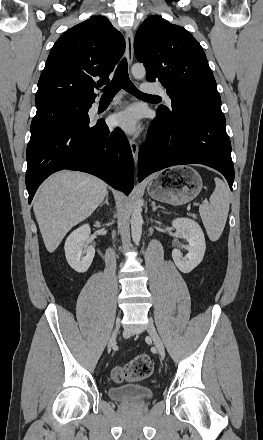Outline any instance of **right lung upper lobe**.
<instances>
[{
	"mask_svg": "<svg viewBox=\"0 0 263 440\" xmlns=\"http://www.w3.org/2000/svg\"><path fill=\"white\" fill-rule=\"evenodd\" d=\"M124 49L122 34L106 17H94L72 27L49 53L38 82L36 107L59 102H93L94 88L109 82V74Z\"/></svg>",
	"mask_w": 263,
	"mask_h": 440,
	"instance_id": "right-lung-upper-lobe-1",
	"label": "right lung upper lobe"
}]
</instances>
